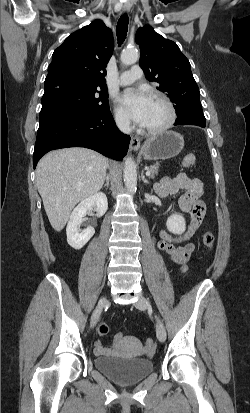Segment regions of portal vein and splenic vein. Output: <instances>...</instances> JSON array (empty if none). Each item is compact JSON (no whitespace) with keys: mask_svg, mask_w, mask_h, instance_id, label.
Returning a JSON list of instances; mask_svg holds the SVG:
<instances>
[{"mask_svg":"<svg viewBox=\"0 0 250 413\" xmlns=\"http://www.w3.org/2000/svg\"><path fill=\"white\" fill-rule=\"evenodd\" d=\"M150 174H151V172H150L149 169H148L147 172H146V175H147V176H150Z\"/></svg>","mask_w":250,"mask_h":413,"instance_id":"portal-vein-and-splenic-vein-1","label":"portal vein and splenic vein"}]
</instances>
